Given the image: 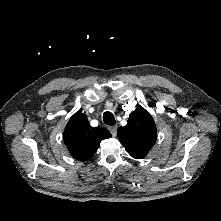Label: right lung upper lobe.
I'll list each match as a JSON object with an SVG mask.
<instances>
[{
	"label": "right lung upper lobe",
	"instance_id": "obj_1",
	"mask_svg": "<svg viewBox=\"0 0 221 221\" xmlns=\"http://www.w3.org/2000/svg\"><path fill=\"white\" fill-rule=\"evenodd\" d=\"M111 133L101 127L90 126L86 115L77 112L69 120L64 131V141L71 155L79 160L91 158L103 139H108Z\"/></svg>",
	"mask_w": 221,
	"mask_h": 221
}]
</instances>
